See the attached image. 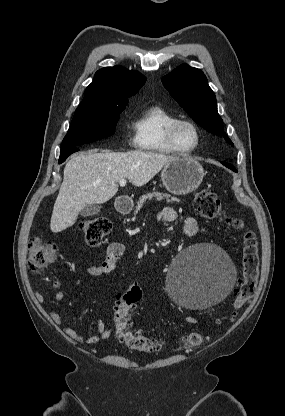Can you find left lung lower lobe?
<instances>
[{
	"label": "left lung lower lobe",
	"instance_id": "obj_1",
	"mask_svg": "<svg viewBox=\"0 0 285 416\" xmlns=\"http://www.w3.org/2000/svg\"><path fill=\"white\" fill-rule=\"evenodd\" d=\"M221 163H222L224 166H226L227 168L231 169L232 171L237 172L236 168H235L234 166H232L231 164L226 163V162H221Z\"/></svg>",
	"mask_w": 285,
	"mask_h": 416
}]
</instances>
